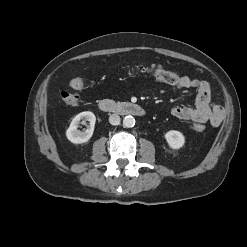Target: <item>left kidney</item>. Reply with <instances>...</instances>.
<instances>
[{
	"mask_svg": "<svg viewBox=\"0 0 247 247\" xmlns=\"http://www.w3.org/2000/svg\"><path fill=\"white\" fill-rule=\"evenodd\" d=\"M165 139L170 148L177 150L183 147L185 143L184 135L176 130H170L165 134Z\"/></svg>",
	"mask_w": 247,
	"mask_h": 247,
	"instance_id": "left-kidney-1",
	"label": "left kidney"
}]
</instances>
